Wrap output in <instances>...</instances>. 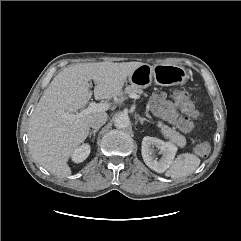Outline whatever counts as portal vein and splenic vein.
Wrapping results in <instances>:
<instances>
[{"instance_id":"obj_1","label":"portal vein and splenic vein","mask_w":241,"mask_h":241,"mask_svg":"<svg viewBox=\"0 0 241 241\" xmlns=\"http://www.w3.org/2000/svg\"><path fill=\"white\" fill-rule=\"evenodd\" d=\"M129 97L133 98V99H139L140 98L139 95L134 94V93L130 94ZM109 108H110V104L107 103V102H104V103L91 102L86 109L80 111L79 113L69 114V113L63 112V116L65 118H69V119H72V120L73 119H79V118L84 117V116H86L88 114H91V113L104 112V111L108 110ZM148 109H149V106L147 105V107H146V114L147 115H148Z\"/></svg>"}]
</instances>
